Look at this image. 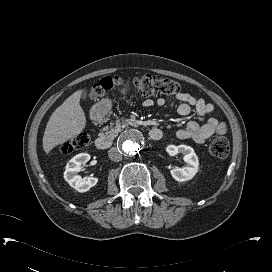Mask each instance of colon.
Listing matches in <instances>:
<instances>
[{
	"mask_svg": "<svg viewBox=\"0 0 272 272\" xmlns=\"http://www.w3.org/2000/svg\"><path fill=\"white\" fill-rule=\"evenodd\" d=\"M133 86L137 91L146 97L173 96L179 91V84L169 78H162L153 75H141L133 79L121 77H105L97 82L92 88V97L97 99L112 89L120 86ZM89 134L82 132L75 137L77 147H84L89 142ZM72 149L71 144L63 146L64 153H69ZM210 153L218 158H224L229 154L230 143L227 137L218 136L212 140L209 146Z\"/></svg>",
	"mask_w": 272,
	"mask_h": 272,
	"instance_id": "obj_1",
	"label": "colon"
}]
</instances>
